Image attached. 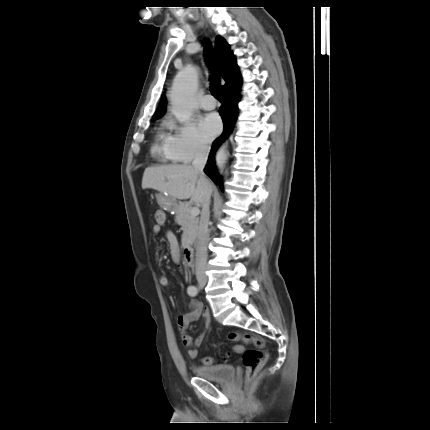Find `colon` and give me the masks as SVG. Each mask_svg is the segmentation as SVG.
I'll use <instances>...</instances> for the list:
<instances>
[{"label": "colon", "mask_w": 430, "mask_h": 430, "mask_svg": "<svg viewBox=\"0 0 430 430\" xmlns=\"http://www.w3.org/2000/svg\"><path fill=\"white\" fill-rule=\"evenodd\" d=\"M154 217L157 225H161L165 220V215L161 210H156ZM228 339L232 342L242 341L245 344L253 345L252 348L246 349L243 352L234 347L235 352H242V361L246 369V380L248 383L252 382L267 360V352L264 350L263 339L251 333H239L234 331L228 334ZM203 363L205 365H212L214 359L205 357Z\"/></svg>", "instance_id": "5ec220e1"}]
</instances>
